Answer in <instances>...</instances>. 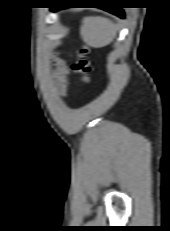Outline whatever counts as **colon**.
Listing matches in <instances>:
<instances>
[{
    "instance_id": "colon-1",
    "label": "colon",
    "mask_w": 170,
    "mask_h": 231,
    "mask_svg": "<svg viewBox=\"0 0 170 231\" xmlns=\"http://www.w3.org/2000/svg\"><path fill=\"white\" fill-rule=\"evenodd\" d=\"M88 48L81 47L75 54V59L72 63V70L81 76L83 83L87 84L90 81L89 72L90 64L87 59Z\"/></svg>"
}]
</instances>
